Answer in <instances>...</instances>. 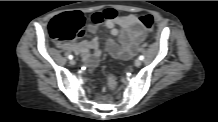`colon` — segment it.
Wrapping results in <instances>:
<instances>
[{"label": "colon", "instance_id": "1", "mask_svg": "<svg viewBox=\"0 0 218 122\" xmlns=\"http://www.w3.org/2000/svg\"><path fill=\"white\" fill-rule=\"evenodd\" d=\"M140 20L146 29H151L154 24V18L150 14L143 15ZM84 24L85 17L81 12H67L58 15L51 20L49 32L53 39L57 40L59 43H63L82 36ZM107 85L110 89L115 88L116 78L113 74L107 75Z\"/></svg>", "mask_w": 218, "mask_h": 122}]
</instances>
